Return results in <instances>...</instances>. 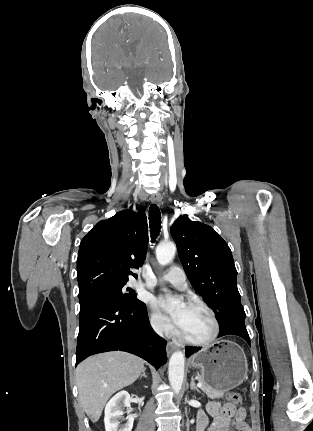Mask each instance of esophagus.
Here are the masks:
<instances>
[{
  "label": "esophagus",
  "instance_id": "1",
  "mask_svg": "<svg viewBox=\"0 0 313 431\" xmlns=\"http://www.w3.org/2000/svg\"><path fill=\"white\" fill-rule=\"evenodd\" d=\"M150 201L153 204H160L161 203V196L159 194H152L150 196ZM175 349H177V345L174 344L173 342H168L167 343V351L168 352H173Z\"/></svg>",
  "mask_w": 313,
  "mask_h": 431
}]
</instances>
